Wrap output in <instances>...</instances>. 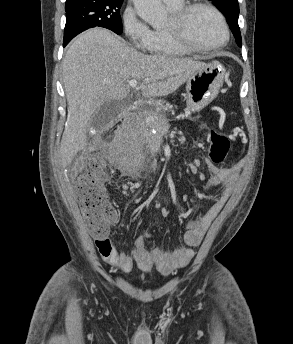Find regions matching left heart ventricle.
Instances as JSON below:
<instances>
[{
  "instance_id": "obj_1",
  "label": "left heart ventricle",
  "mask_w": 293,
  "mask_h": 344,
  "mask_svg": "<svg viewBox=\"0 0 293 344\" xmlns=\"http://www.w3.org/2000/svg\"><path fill=\"white\" fill-rule=\"evenodd\" d=\"M171 26L172 17L166 29ZM185 32L192 43L202 47L214 46L224 38L219 20L205 8H197L189 13L185 21Z\"/></svg>"
}]
</instances>
